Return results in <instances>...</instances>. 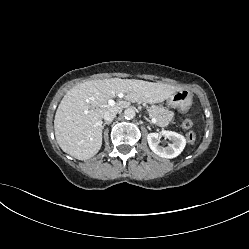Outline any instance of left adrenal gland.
<instances>
[{
    "label": "left adrenal gland",
    "instance_id": "a2214340",
    "mask_svg": "<svg viewBox=\"0 0 249 249\" xmlns=\"http://www.w3.org/2000/svg\"><path fill=\"white\" fill-rule=\"evenodd\" d=\"M144 119H145L147 122H149L150 124H152V122L150 121V119L147 118L146 116H144Z\"/></svg>",
    "mask_w": 249,
    "mask_h": 249
}]
</instances>
